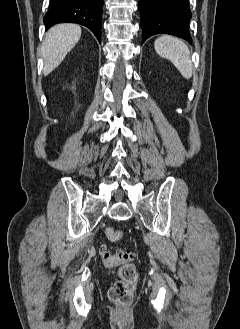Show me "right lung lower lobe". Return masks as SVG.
Returning <instances> with one entry per match:
<instances>
[{
    "instance_id": "1",
    "label": "right lung lower lobe",
    "mask_w": 240,
    "mask_h": 329,
    "mask_svg": "<svg viewBox=\"0 0 240 329\" xmlns=\"http://www.w3.org/2000/svg\"><path fill=\"white\" fill-rule=\"evenodd\" d=\"M103 0H50L44 17L48 30L58 23H77L88 27L100 42Z\"/></svg>"
}]
</instances>
